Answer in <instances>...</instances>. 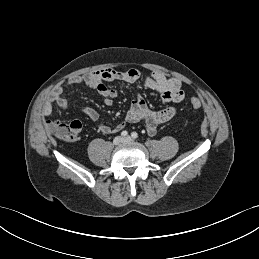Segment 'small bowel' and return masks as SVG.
<instances>
[{"label": "small bowel", "mask_w": 259, "mask_h": 259, "mask_svg": "<svg viewBox=\"0 0 259 259\" xmlns=\"http://www.w3.org/2000/svg\"><path fill=\"white\" fill-rule=\"evenodd\" d=\"M140 80H142L143 87L160 93L164 103L178 104L184 99L185 94L181 83L174 77H167L160 72L154 71L147 77L141 79V72L135 68L122 71L112 68H103L84 75L69 77L63 85L55 88L52 100L44 106L42 113L49 115L54 107L65 108L68 106V101L63 96L64 89L67 87L83 85L93 89L101 95L104 103L110 106L117 97L118 90L108 87L105 82L120 81L126 84H136ZM82 111L91 121H100V114L96 109L90 106H83ZM176 112L177 109L174 105L167 106L160 110L149 108L144 97L137 92L123 121L114 127L100 122L99 128L103 134H112L124 129L128 123L144 122L148 135L154 136L157 132V127L171 120Z\"/></svg>", "instance_id": "1"}]
</instances>
